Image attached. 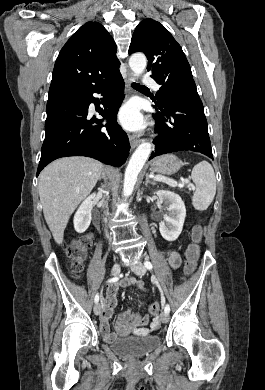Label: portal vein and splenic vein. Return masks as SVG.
Wrapping results in <instances>:
<instances>
[{
  "label": "portal vein and splenic vein",
  "mask_w": 265,
  "mask_h": 390,
  "mask_svg": "<svg viewBox=\"0 0 265 390\" xmlns=\"http://www.w3.org/2000/svg\"><path fill=\"white\" fill-rule=\"evenodd\" d=\"M154 180L156 181H161V182H165L167 183L168 185L172 186V187H176V186H180V187H183L185 183H188L187 180H184L182 182V184H179L177 183V181L171 179V178H167V177H163V176H155L154 177ZM190 186L194 189V186L192 184H190Z\"/></svg>",
  "instance_id": "1"
}]
</instances>
